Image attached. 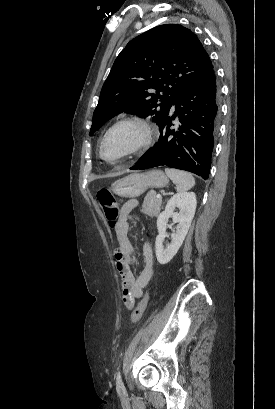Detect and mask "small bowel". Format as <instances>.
Here are the masks:
<instances>
[{
    "label": "small bowel",
    "mask_w": 275,
    "mask_h": 409,
    "mask_svg": "<svg viewBox=\"0 0 275 409\" xmlns=\"http://www.w3.org/2000/svg\"><path fill=\"white\" fill-rule=\"evenodd\" d=\"M137 205L136 200H130L122 207L121 217L115 227L118 248L115 256L111 258L116 263V268L121 275L122 302L128 308L132 307L135 300L142 297L153 274V253L149 243H144L142 254L145 266L139 275H135L132 265L135 262V249L129 237L131 211Z\"/></svg>",
    "instance_id": "obj_1"
}]
</instances>
